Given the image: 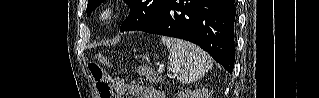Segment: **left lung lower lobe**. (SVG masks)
I'll use <instances>...</instances> for the list:
<instances>
[{
  "mask_svg": "<svg viewBox=\"0 0 319 98\" xmlns=\"http://www.w3.org/2000/svg\"><path fill=\"white\" fill-rule=\"evenodd\" d=\"M234 3V0H164L156 16L137 30L193 42L232 73Z\"/></svg>",
  "mask_w": 319,
  "mask_h": 98,
  "instance_id": "1",
  "label": "left lung lower lobe"
}]
</instances>
